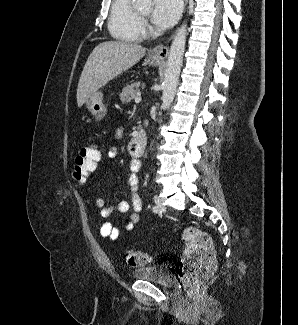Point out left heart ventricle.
<instances>
[{"instance_id":"b2bd125f","label":"left heart ventricle","mask_w":298,"mask_h":325,"mask_svg":"<svg viewBox=\"0 0 298 325\" xmlns=\"http://www.w3.org/2000/svg\"><path fill=\"white\" fill-rule=\"evenodd\" d=\"M140 8L145 14L149 15L152 9V3L150 1L141 0Z\"/></svg>"}]
</instances>
